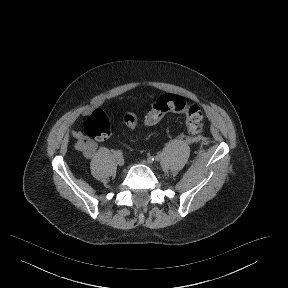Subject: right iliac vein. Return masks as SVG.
Wrapping results in <instances>:
<instances>
[{
  "mask_svg": "<svg viewBox=\"0 0 288 288\" xmlns=\"http://www.w3.org/2000/svg\"><path fill=\"white\" fill-rule=\"evenodd\" d=\"M115 161H116V163H117L119 166H122V165H123V160H122V159H117V158H115Z\"/></svg>",
  "mask_w": 288,
  "mask_h": 288,
  "instance_id": "right-iliac-vein-1",
  "label": "right iliac vein"
}]
</instances>
